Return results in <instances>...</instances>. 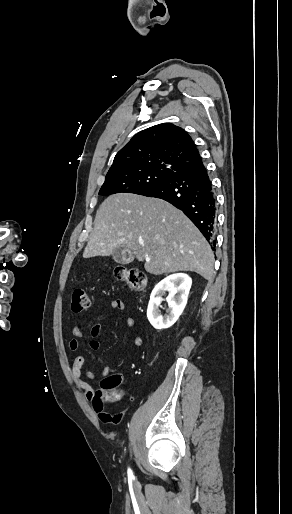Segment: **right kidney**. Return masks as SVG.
I'll list each match as a JSON object with an SVG mask.
<instances>
[{"label":"right kidney","mask_w":292,"mask_h":514,"mask_svg":"<svg viewBox=\"0 0 292 514\" xmlns=\"http://www.w3.org/2000/svg\"><path fill=\"white\" fill-rule=\"evenodd\" d=\"M191 284L192 280L187 274H171L155 286L150 296L147 318L156 330H165L175 324L187 304ZM165 292H169L166 298L169 310L162 316L159 306L163 302L162 296Z\"/></svg>","instance_id":"1"}]
</instances>
